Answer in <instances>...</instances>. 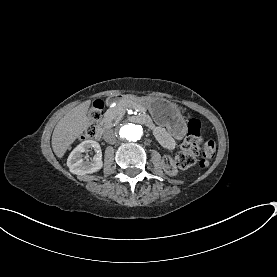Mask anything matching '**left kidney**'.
<instances>
[{"mask_svg":"<svg viewBox=\"0 0 277 277\" xmlns=\"http://www.w3.org/2000/svg\"><path fill=\"white\" fill-rule=\"evenodd\" d=\"M162 168L165 174L168 176H176L178 174V168L175 164H172V169L169 170V166L165 165L164 162H162Z\"/></svg>","mask_w":277,"mask_h":277,"instance_id":"obj_1","label":"left kidney"}]
</instances>
